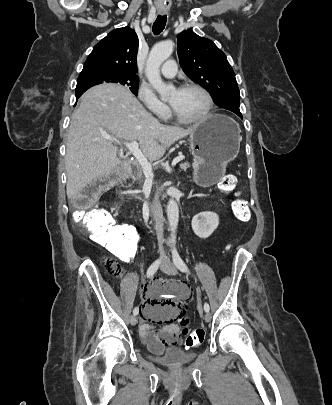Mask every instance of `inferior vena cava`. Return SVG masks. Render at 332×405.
I'll use <instances>...</instances> for the list:
<instances>
[{"mask_svg": "<svg viewBox=\"0 0 332 405\" xmlns=\"http://www.w3.org/2000/svg\"><path fill=\"white\" fill-rule=\"evenodd\" d=\"M152 212L154 214V220L156 223V229L161 231L163 226V212L158 202L152 204Z\"/></svg>", "mask_w": 332, "mask_h": 405, "instance_id": "inferior-vena-cava-1", "label": "inferior vena cava"}]
</instances>
